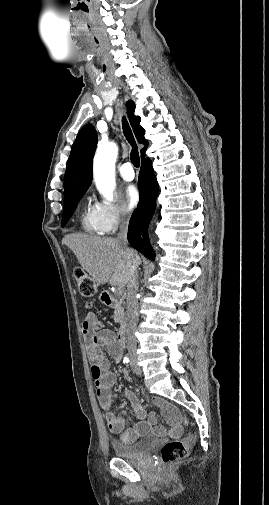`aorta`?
<instances>
[{
	"label": "aorta",
	"instance_id": "obj_1",
	"mask_svg": "<svg viewBox=\"0 0 269 505\" xmlns=\"http://www.w3.org/2000/svg\"><path fill=\"white\" fill-rule=\"evenodd\" d=\"M118 147L114 142L98 146L93 163V173L99 193L107 200L113 201L115 190V163Z\"/></svg>",
	"mask_w": 269,
	"mask_h": 505
}]
</instances>
